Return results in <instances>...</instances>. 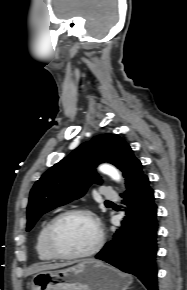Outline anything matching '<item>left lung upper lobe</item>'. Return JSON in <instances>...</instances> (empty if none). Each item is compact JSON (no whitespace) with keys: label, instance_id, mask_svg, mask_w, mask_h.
<instances>
[{"label":"left lung upper lobe","instance_id":"obj_1","mask_svg":"<svg viewBox=\"0 0 187 290\" xmlns=\"http://www.w3.org/2000/svg\"><path fill=\"white\" fill-rule=\"evenodd\" d=\"M102 162H109L123 172L127 189L143 175L141 162L121 137L110 133L95 136L35 183L27 207V231L44 213L82 197L92 183H100L95 167Z\"/></svg>","mask_w":187,"mask_h":290}]
</instances>
